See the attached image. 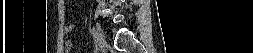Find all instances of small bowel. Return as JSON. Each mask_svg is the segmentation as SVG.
Returning a JSON list of instances; mask_svg holds the SVG:
<instances>
[{
	"label": "small bowel",
	"mask_w": 253,
	"mask_h": 53,
	"mask_svg": "<svg viewBox=\"0 0 253 53\" xmlns=\"http://www.w3.org/2000/svg\"><path fill=\"white\" fill-rule=\"evenodd\" d=\"M72 29H73L72 25H67V26L64 27V32L65 33H69V32L72 31ZM65 47L68 48V49H70L72 47L71 41H66L65 42Z\"/></svg>",
	"instance_id": "c3829d8e"
}]
</instances>
